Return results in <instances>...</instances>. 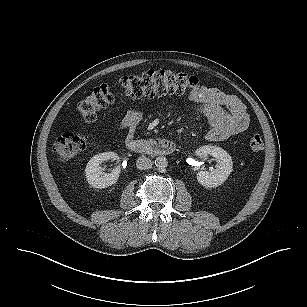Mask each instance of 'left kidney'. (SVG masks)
Returning a JSON list of instances; mask_svg holds the SVG:
<instances>
[{
	"label": "left kidney",
	"mask_w": 307,
	"mask_h": 307,
	"mask_svg": "<svg viewBox=\"0 0 307 307\" xmlns=\"http://www.w3.org/2000/svg\"><path fill=\"white\" fill-rule=\"evenodd\" d=\"M197 156L211 155L216 159V169L197 173L198 182L207 188L218 187L223 184L233 170L231 156L222 148L205 145L195 151Z\"/></svg>",
	"instance_id": "1"
}]
</instances>
